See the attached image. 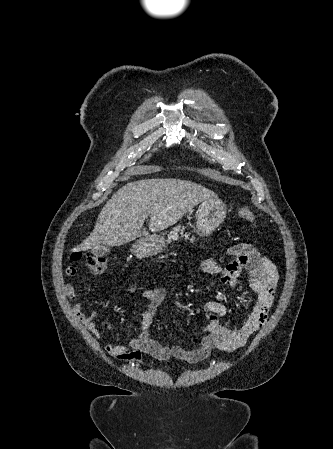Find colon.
<instances>
[{
	"instance_id": "obj_1",
	"label": "colon",
	"mask_w": 333,
	"mask_h": 449,
	"mask_svg": "<svg viewBox=\"0 0 333 449\" xmlns=\"http://www.w3.org/2000/svg\"><path fill=\"white\" fill-rule=\"evenodd\" d=\"M238 216L250 223H255L256 219L249 207H241ZM70 259L74 262H82L88 271L94 274L102 273L106 268L107 260L104 256L94 255L80 251L72 252Z\"/></svg>"
}]
</instances>
